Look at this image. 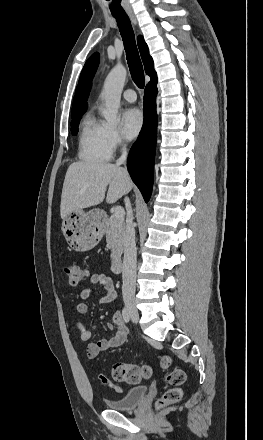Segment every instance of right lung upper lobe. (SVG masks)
Masks as SVG:
<instances>
[{"mask_svg":"<svg viewBox=\"0 0 263 440\" xmlns=\"http://www.w3.org/2000/svg\"><path fill=\"white\" fill-rule=\"evenodd\" d=\"M137 42L146 74L151 77V80L157 78L156 72L154 70L153 59L149 55L148 46L145 43L143 37L138 36ZM98 63H99L98 53H94L85 63L84 68L80 75L79 84L75 92V97L73 99L71 117H75L85 112L87 108L86 101L91 89V82L96 72Z\"/></svg>","mask_w":263,"mask_h":440,"instance_id":"1","label":"right lung upper lobe"}]
</instances>
